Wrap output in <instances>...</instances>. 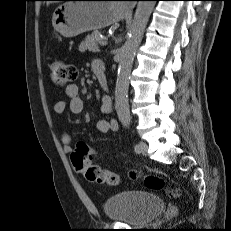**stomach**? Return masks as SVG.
I'll return each mask as SVG.
<instances>
[{"label": "stomach", "instance_id": "0dacf381", "mask_svg": "<svg viewBox=\"0 0 231 231\" xmlns=\"http://www.w3.org/2000/svg\"><path fill=\"white\" fill-rule=\"evenodd\" d=\"M125 17L119 2L72 0L58 6L52 25L64 37H75L88 31L110 26Z\"/></svg>", "mask_w": 231, "mask_h": 231}]
</instances>
